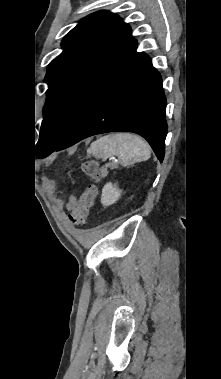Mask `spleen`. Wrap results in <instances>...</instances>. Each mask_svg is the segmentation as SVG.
Here are the masks:
<instances>
[{
	"label": "spleen",
	"instance_id": "3e777b00",
	"mask_svg": "<svg viewBox=\"0 0 221 379\" xmlns=\"http://www.w3.org/2000/svg\"><path fill=\"white\" fill-rule=\"evenodd\" d=\"M88 153L97 159L117 157L122 166H130L150 158V146L142 138L128 133L103 136L91 143Z\"/></svg>",
	"mask_w": 221,
	"mask_h": 379
}]
</instances>
